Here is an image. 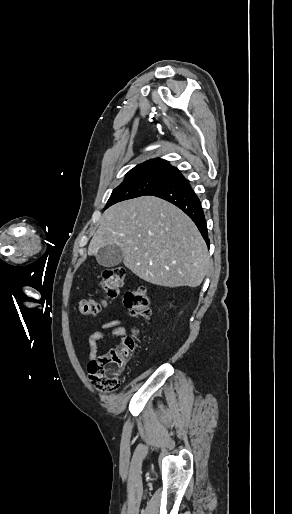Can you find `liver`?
I'll list each match as a JSON object with an SVG mask.
<instances>
[{
  "label": "liver",
  "instance_id": "obj_1",
  "mask_svg": "<svg viewBox=\"0 0 292 514\" xmlns=\"http://www.w3.org/2000/svg\"><path fill=\"white\" fill-rule=\"evenodd\" d=\"M116 244L123 264L157 286L197 288L211 270L207 246L194 222L165 200L141 196L105 210L88 248Z\"/></svg>",
  "mask_w": 292,
  "mask_h": 514
}]
</instances>
